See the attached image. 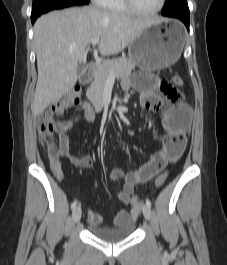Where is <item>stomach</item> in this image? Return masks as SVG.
Instances as JSON below:
<instances>
[{
	"label": "stomach",
	"instance_id": "1",
	"mask_svg": "<svg viewBox=\"0 0 227 265\" xmlns=\"http://www.w3.org/2000/svg\"><path fill=\"white\" fill-rule=\"evenodd\" d=\"M184 46V29L173 21L149 25L128 46L129 58L141 69L159 71L176 63Z\"/></svg>",
	"mask_w": 227,
	"mask_h": 265
}]
</instances>
